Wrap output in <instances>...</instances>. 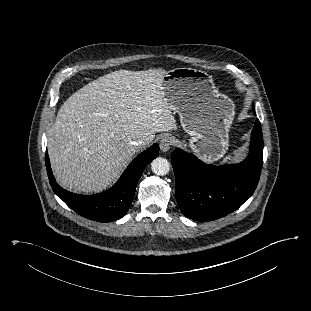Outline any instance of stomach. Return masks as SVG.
<instances>
[{
	"instance_id": "0dacf381",
	"label": "stomach",
	"mask_w": 311,
	"mask_h": 311,
	"mask_svg": "<svg viewBox=\"0 0 311 311\" xmlns=\"http://www.w3.org/2000/svg\"><path fill=\"white\" fill-rule=\"evenodd\" d=\"M163 91L183 129L191 135V150L207 162L219 160L229 146L233 101L218 92L208 73L193 68L166 72Z\"/></svg>"
}]
</instances>
